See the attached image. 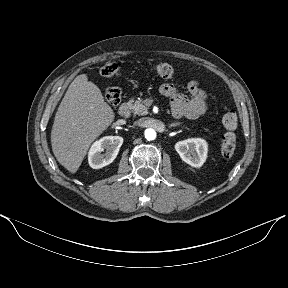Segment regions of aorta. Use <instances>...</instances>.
I'll list each match as a JSON object with an SVG mask.
<instances>
[{
	"mask_svg": "<svg viewBox=\"0 0 288 288\" xmlns=\"http://www.w3.org/2000/svg\"><path fill=\"white\" fill-rule=\"evenodd\" d=\"M144 134H145V138L149 141L154 140L156 138V132L152 128L146 129Z\"/></svg>",
	"mask_w": 288,
	"mask_h": 288,
	"instance_id": "762f6f07",
	"label": "aorta"
}]
</instances>
